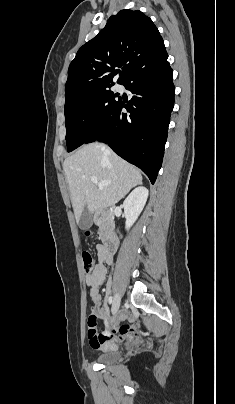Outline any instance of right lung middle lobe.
<instances>
[{
  "label": "right lung middle lobe",
  "instance_id": "1",
  "mask_svg": "<svg viewBox=\"0 0 235 404\" xmlns=\"http://www.w3.org/2000/svg\"><path fill=\"white\" fill-rule=\"evenodd\" d=\"M116 94L104 89L65 103L68 152L84 144L92 132L116 106Z\"/></svg>",
  "mask_w": 235,
  "mask_h": 404
}]
</instances>
